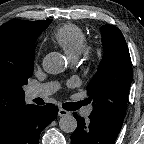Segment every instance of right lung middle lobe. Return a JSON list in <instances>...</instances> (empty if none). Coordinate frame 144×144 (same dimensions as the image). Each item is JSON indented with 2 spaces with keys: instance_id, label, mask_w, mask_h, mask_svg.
Instances as JSON below:
<instances>
[{
  "instance_id": "1",
  "label": "right lung middle lobe",
  "mask_w": 144,
  "mask_h": 144,
  "mask_svg": "<svg viewBox=\"0 0 144 144\" xmlns=\"http://www.w3.org/2000/svg\"><path fill=\"white\" fill-rule=\"evenodd\" d=\"M35 42V41H34ZM34 57L31 56L24 60L15 70L16 78L21 86L26 85L28 78L33 73Z\"/></svg>"
}]
</instances>
